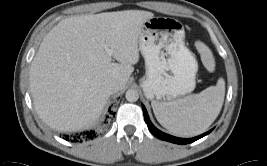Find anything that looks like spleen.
<instances>
[{
    "mask_svg": "<svg viewBox=\"0 0 267 166\" xmlns=\"http://www.w3.org/2000/svg\"><path fill=\"white\" fill-rule=\"evenodd\" d=\"M225 96V82L170 102H152L157 121L178 136H194L205 132L219 115Z\"/></svg>",
    "mask_w": 267,
    "mask_h": 166,
    "instance_id": "1",
    "label": "spleen"
}]
</instances>
